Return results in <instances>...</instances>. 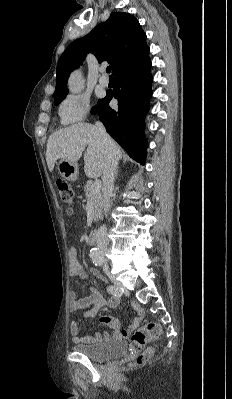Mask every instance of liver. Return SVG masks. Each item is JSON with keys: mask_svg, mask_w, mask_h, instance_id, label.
Returning <instances> with one entry per match:
<instances>
[{"mask_svg": "<svg viewBox=\"0 0 232 399\" xmlns=\"http://www.w3.org/2000/svg\"><path fill=\"white\" fill-rule=\"evenodd\" d=\"M85 148L84 172L88 178H99L105 170L108 146L103 144L100 134L92 124H72L51 134L47 142L46 162L49 172H53L56 160L78 162ZM112 150H115L118 160L122 154L119 146L112 140Z\"/></svg>", "mask_w": 232, "mask_h": 399, "instance_id": "1", "label": "liver"}]
</instances>
